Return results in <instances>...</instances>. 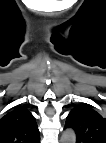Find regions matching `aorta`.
<instances>
[{"label": "aorta", "instance_id": "762f6f07", "mask_svg": "<svg viewBox=\"0 0 106 143\" xmlns=\"http://www.w3.org/2000/svg\"><path fill=\"white\" fill-rule=\"evenodd\" d=\"M76 135L72 129H66L61 136V143H75Z\"/></svg>", "mask_w": 106, "mask_h": 143}]
</instances>
